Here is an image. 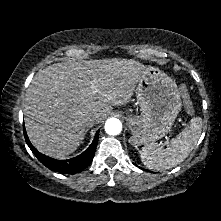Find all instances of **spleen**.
Segmentation results:
<instances>
[{
	"instance_id": "3e777b00",
	"label": "spleen",
	"mask_w": 221,
	"mask_h": 221,
	"mask_svg": "<svg viewBox=\"0 0 221 221\" xmlns=\"http://www.w3.org/2000/svg\"><path fill=\"white\" fill-rule=\"evenodd\" d=\"M202 119L194 117L190 125L173 138L166 148L149 143L140 152L142 163L149 169L161 171L183 162L197 144L201 135Z\"/></svg>"
}]
</instances>
